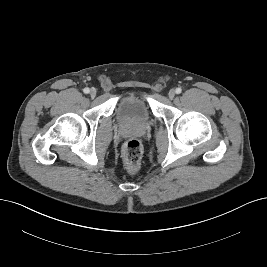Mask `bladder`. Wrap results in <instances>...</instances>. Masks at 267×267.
<instances>
[{"instance_id":"31cf9c89","label":"bladder","mask_w":267,"mask_h":267,"mask_svg":"<svg viewBox=\"0 0 267 267\" xmlns=\"http://www.w3.org/2000/svg\"><path fill=\"white\" fill-rule=\"evenodd\" d=\"M115 115L122 122L144 124L151 119L152 111L143 95L131 94L119 99Z\"/></svg>"}]
</instances>
